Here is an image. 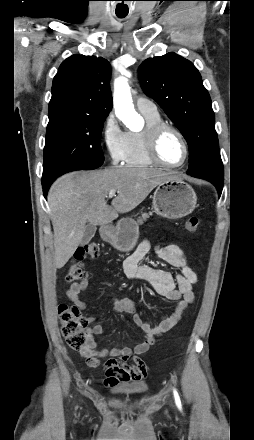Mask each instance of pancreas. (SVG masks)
<instances>
[{"label": "pancreas", "instance_id": "1", "mask_svg": "<svg viewBox=\"0 0 254 440\" xmlns=\"http://www.w3.org/2000/svg\"><path fill=\"white\" fill-rule=\"evenodd\" d=\"M150 215H151V213H149V214L148 213H142V216L137 219V223L139 225L143 224V222L146 221V219L149 218Z\"/></svg>", "mask_w": 254, "mask_h": 440}]
</instances>
